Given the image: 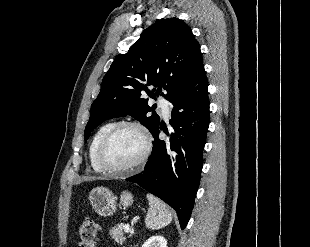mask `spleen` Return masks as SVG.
<instances>
[{
	"instance_id": "1",
	"label": "spleen",
	"mask_w": 310,
	"mask_h": 247,
	"mask_svg": "<svg viewBox=\"0 0 310 247\" xmlns=\"http://www.w3.org/2000/svg\"><path fill=\"white\" fill-rule=\"evenodd\" d=\"M147 199L149 201V209L145 218L146 227L151 230H158L170 224L172 213L167 205L151 194H147Z\"/></svg>"
}]
</instances>
